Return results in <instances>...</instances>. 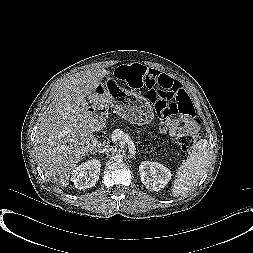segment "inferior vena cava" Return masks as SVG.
<instances>
[{"label": "inferior vena cava", "mask_w": 253, "mask_h": 253, "mask_svg": "<svg viewBox=\"0 0 253 253\" xmlns=\"http://www.w3.org/2000/svg\"><path fill=\"white\" fill-rule=\"evenodd\" d=\"M113 150V148H110V147H106V148H104L103 149V152H105V153H109V152H111Z\"/></svg>", "instance_id": "602c4592"}]
</instances>
